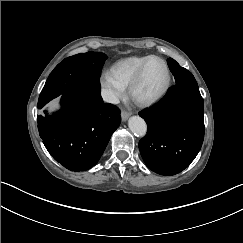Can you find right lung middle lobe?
Segmentation results:
<instances>
[{
  "label": "right lung middle lobe",
  "instance_id": "1",
  "mask_svg": "<svg viewBox=\"0 0 243 243\" xmlns=\"http://www.w3.org/2000/svg\"><path fill=\"white\" fill-rule=\"evenodd\" d=\"M107 56L101 52H87L64 59L49 75L38 100V108L72 87L83 86L100 90V75Z\"/></svg>",
  "mask_w": 243,
  "mask_h": 243
}]
</instances>
